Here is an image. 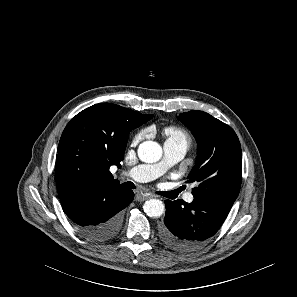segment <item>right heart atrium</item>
<instances>
[{
  "label": "right heart atrium",
  "instance_id": "d8ad5b80",
  "mask_svg": "<svg viewBox=\"0 0 297 297\" xmlns=\"http://www.w3.org/2000/svg\"><path fill=\"white\" fill-rule=\"evenodd\" d=\"M144 136L143 132H139L138 134L135 135L134 139H133V143L137 144Z\"/></svg>",
  "mask_w": 297,
  "mask_h": 297
}]
</instances>
